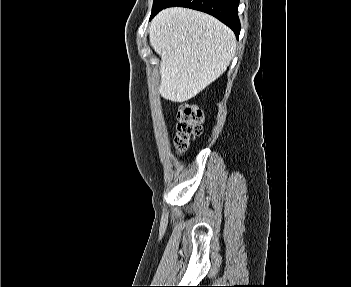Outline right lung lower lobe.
I'll return each mask as SVG.
<instances>
[{"instance_id": "right-lung-lower-lobe-1", "label": "right lung lower lobe", "mask_w": 351, "mask_h": 287, "mask_svg": "<svg viewBox=\"0 0 351 287\" xmlns=\"http://www.w3.org/2000/svg\"><path fill=\"white\" fill-rule=\"evenodd\" d=\"M239 0H161L152 10L150 19L167 7L180 6L208 13L229 26L238 38L240 21L238 19Z\"/></svg>"}]
</instances>
